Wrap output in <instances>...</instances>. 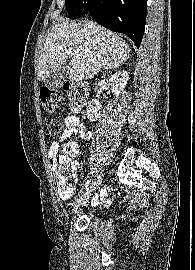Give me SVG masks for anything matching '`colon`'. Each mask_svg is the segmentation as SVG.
<instances>
[{
    "mask_svg": "<svg viewBox=\"0 0 195 270\" xmlns=\"http://www.w3.org/2000/svg\"><path fill=\"white\" fill-rule=\"evenodd\" d=\"M70 108L74 113H78L84 107L88 89L83 83H68L64 87ZM61 99L58 91L51 89H42L40 91V103L45 111H54ZM47 130L50 135H58L62 130V123L59 119H49L47 121ZM77 152V146L74 143H68L64 146L63 154L56 158V167L53 171L54 184L60 195L69 193L77 183V177L72 169L70 156Z\"/></svg>",
    "mask_w": 195,
    "mask_h": 270,
    "instance_id": "1",
    "label": "colon"
}]
</instances>
